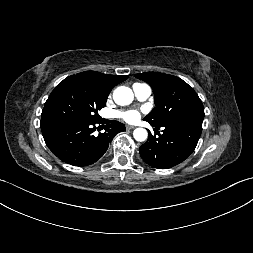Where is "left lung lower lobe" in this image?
Returning a JSON list of instances; mask_svg holds the SVG:
<instances>
[{"mask_svg": "<svg viewBox=\"0 0 253 253\" xmlns=\"http://www.w3.org/2000/svg\"><path fill=\"white\" fill-rule=\"evenodd\" d=\"M203 119H193L156 126L162 127L159 137L150 135L145 144L139 148L140 156L150 166L157 169H168L184 161L196 148L202 132Z\"/></svg>", "mask_w": 253, "mask_h": 253, "instance_id": "left-lung-lower-lobe-1", "label": "left lung lower lobe"}]
</instances>
